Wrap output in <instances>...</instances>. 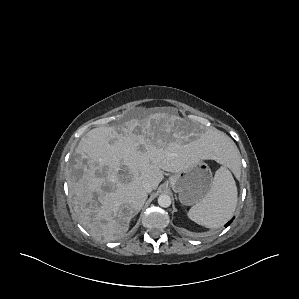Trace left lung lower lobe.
Masks as SVG:
<instances>
[{
    "label": "left lung lower lobe",
    "instance_id": "1",
    "mask_svg": "<svg viewBox=\"0 0 299 299\" xmlns=\"http://www.w3.org/2000/svg\"><path fill=\"white\" fill-rule=\"evenodd\" d=\"M233 220V219H232ZM232 220L231 221H229L225 226L227 227V226H229L230 225V223L232 222Z\"/></svg>",
    "mask_w": 299,
    "mask_h": 299
}]
</instances>
